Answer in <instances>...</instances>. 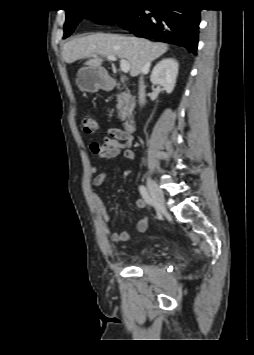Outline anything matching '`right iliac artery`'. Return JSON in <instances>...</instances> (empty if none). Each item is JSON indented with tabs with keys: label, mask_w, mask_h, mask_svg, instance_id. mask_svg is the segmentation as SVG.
<instances>
[{
	"label": "right iliac artery",
	"mask_w": 254,
	"mask_h": 355,
	"mask_svg": "<svg viewBox=\"0 0 254 355\" xmlns=\"http://www.w3.org/2000/svg\"><path fill=\"white\" fill-rule=\"evenodd\" d=\"M139 191H140L141 196H142L143 199L145 200V202H146L149 206H151V205H152V199L150 198V195H149V193H148L146 187L143 186V185H141V186L139 187Z\"/></svg>",
	"instance_id": "1"
}]
</instances>
